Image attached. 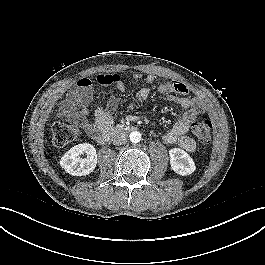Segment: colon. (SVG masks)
Returning a JSON list of instances; mask_svg holds the SVG:
<instances>
[{
  "label": "colon",
  "mask_w": 265,
  "mask_h": 265,
  "mask_svg": "<svg viewBox=\"0 0 265 265\" xmlns=\"http://www.w3.org/2000/svg\"><path fill=\"white\" fill-rule=\"evenodd\" d=\"M193 135L202 144H208L211 139L212 122L208 118H201L191 126ZM53 143L56 147H63L72 143L78 136V129L75 126L57 120L52 127Z\"/></svg>",
  "instance_id": "5ec220e1"
}]
</instances>
